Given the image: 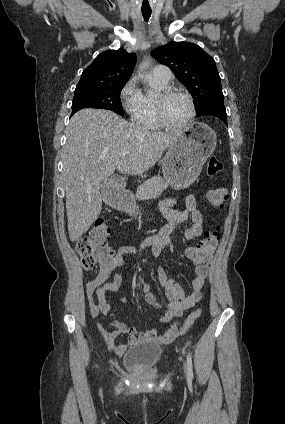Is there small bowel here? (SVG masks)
<instances>
[{"label": "small bowel", "mask_w": 285, "mask_h": 424, "mask_svg": "<svg viewBox=\"0 0 285 424\" xmlns=\"http://www.w3.org/2000/svg\"><path fill=\"white\" fill-rule=\"evenodd\" d=\"M175 202V198L168 197L161 203V212L168 223L158 234L147 238L138 248L134 246H122L117 250L114 260L118 267L124 266L125 255L137 254L140 256L148 249L151 251L152 256L157 258L163 248L172 244V232L188 221H190V225L183 230V237L186 240H194L203 234V216L197 209L196 196L191 194L186 198V207L184 210H174L172 207ZM190 250L191 248H188L185 251L188 258H190ZM195 264L194 277L191 283L192 288L188 295L184 293L179 283L168 278L161 266H158V279L165 291L167 302L163 304L157 300L148 284L143 286L142 290L146 302L156 309L165 310L161 317L162 322L169 324V329L165 333L159 334L155 328L138 333L133 327L118 320L112 322L116 330L109 331L103 324L98 322L97 328L106 346L119 357H122L128 348L136 344L150 342L159 345H168L181 335L183 332L180 331V323L178 321L172 322V319L174 317H181L184 310L193 307L201 299L202 290L209 271V259L195 262ZM107 277L108 273L101 269L98 275L86 284L88 307L90 315L94 319L100 314L107 315L111 312V307L106 300V294L117 291L121 287V273L116 272L111 282H106ZM122 301L126 302V298H122ZM122 334L127 335V342L116 343L115 339Z\"/></svg>", "instance_id": "small-bowel-1"}]
</instances>
